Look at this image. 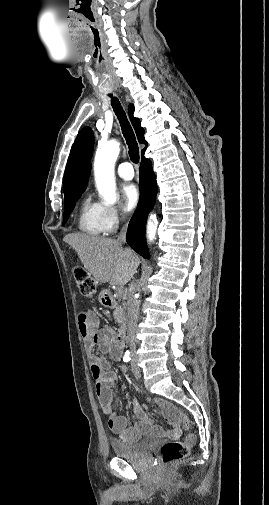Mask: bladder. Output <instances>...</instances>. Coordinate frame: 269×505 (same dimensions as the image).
<instances>
[{
  "instance_id": "bladder-1",
  "label": "bladder",
  "mask_w": 269,
  "mask_h": 505,
  "mask_svg": "<svg viewBox=\"0 0 269 505\" xmlns=\"http://www.w3.org/2000/svg\"><path fill=\"white\" fill-rule=\"evenodd\" d=\"M156 443V438L146 436L134 443L112 441V449L115 456L124 459L138 460L142 458Z\"/></svg>"
}]
</instances>
